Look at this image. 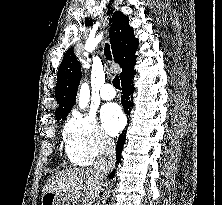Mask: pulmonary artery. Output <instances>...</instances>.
I'll use <instances>...</instances> for the list:
<instances>
[{"mask_svg":"<svg viewBox=\"0 0 222 205\" xmlns=\"http://www.w3.org/2000/svg\"><path fill=\"white\" fill-rule=\"evenodd\" d=\"M116 96V91L112 84L105 83L100 90V97L103 100H112Z\"/></svg>","mask_w":222,"mask_h":205,"instance_id":"1","label":"pulmonary artery"}]
</instances>
